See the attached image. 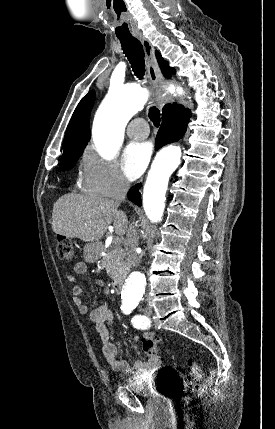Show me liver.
Wrapping results in <instances>:
<instances>
[{
  "mask_svg": "<svg viewBox=\"0 0 275 429\" xmlns=\"http://www.w3.org/2000/svg\"><path fill=\"white\" fill-rule=\"evenodd\" d=\"M120 203L113 199L65 194L53 205L52 229L56 234L94 242L100 240L113 222L117 235L127 231L128 220L118 210Z\"/></svg>",
  "mask_w": 275,
  "mask_h": 429,
  "instance_id": "6515ba94",
  "label": "liver"
}]
</instances>
